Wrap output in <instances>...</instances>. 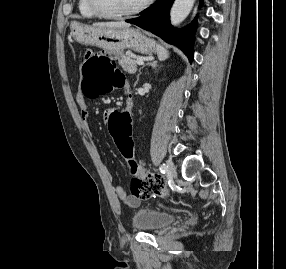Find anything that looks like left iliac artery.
I'll return each mask as SVG.
<instances>
[{
	"instance_id": "left-iliac-artery-1",
	"label": "left iliac artery",
	"mask_w": 286,
	"mask_h": 269,
	"mask_svg": "<svg viewBox=\"0 0 286 269\" xmlns=\"http://www.w3.org/2000/svg\"><path fill=\"white\" fill-rule=\"evenodd\" d=\"M159 169L161 173H164V174L167 173V166L165 164H162Z\"/></svg>"
}]
</instances>
